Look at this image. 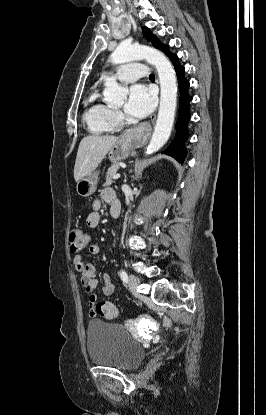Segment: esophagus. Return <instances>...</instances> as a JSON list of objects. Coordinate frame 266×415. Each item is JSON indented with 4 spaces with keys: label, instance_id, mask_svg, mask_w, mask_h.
Wrapping results in <instances>:
<instances>
[{
    "label": "esophagus",
    "instance_id": "1",
    "mask_svg": "<svg viewBox=\"0 0 266 415\" xmlns=\"http://www.w3.org/2000/svg\"><path fill=\"white\" fill-rule=\"evenodd\" d=\"M155 119H156V115H155V114H153V115L151 116V121H152V123H154ZM135 130H136V129H132V130H129V131L125 132V133H124V137H129V136L131 135V133H132V132H134Z\"/></svg>",
    "mask_w": 266,
    "mask_h": 415
}]
</instances>
